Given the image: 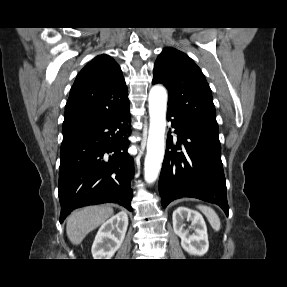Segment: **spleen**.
<instances>
[{
    "instance_id": "obj_1",
    "label": "spleen",
    "mask_w": 287,
    "mask_h": 287,
    "mask_svg": "<svg viewBox=\"0 0 287 287\" xmlns=\"http://www.w3.org/2000/svg\"><path fill=\"white\" fill-rule=\"evenodd\" d=\"M198 209L207 217L212 228L218 231L221 223L217 213L209 206L199 205Z\"/></svg>"
}]
</instances>
